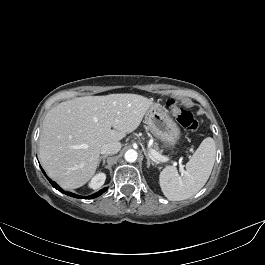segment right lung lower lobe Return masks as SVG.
Instances as JSON below:
<instances>
[{
    "mask_svg": "<svg viewBox=\"0 0 265 265\" xmlns=\"http://www.w3.org/2000/svg\"><path fill=\"white\" fill-rule=\"evenodd\" d=\"M42 169V168H41ZM42 172L45 174V172H44V170L42 169ZM45 176L47 177V175L45 174ZM47 179L49 180V182L52 184V186L54 187V188H56L57 190H59L60 192H62V193H65L66 195H69V196H72V197H75V198H81V199H92V198H96V197H98V196H100L101 194H103L106 190H107V188H103L102 190H100V191H98V192H96L95 194H93V195H90V196H87V197H85V196H79V195H76V194H73V193H71V192H65V191H63L55 182H53L49 177H47Z\"/></svg>",
    "mask_w": 265,
    "mask_h": 265,
    "instance_id": "98d812e1",
    "label": "right lung lower lobe"
}]
</instances>
